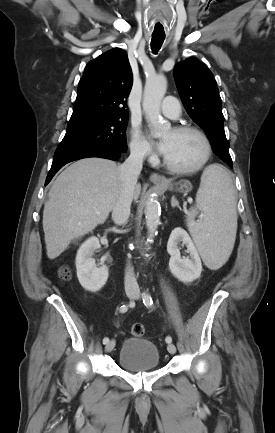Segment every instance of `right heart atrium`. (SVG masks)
<instances>
[{
	"mask_svg": "<svg viewBox=\"0 0 275 433\" xmlns=\"http://www.w3.org/2000/svg\"><path fill=\"white\" fill-rule=\"evenodd\" d=\"M130 150L132 155L140 160L150 158L153 155L152 147L138 126L131 131Z\"/></svg>",
	"mask_w": 275,
	"mask_h": 433,
	"instance_id": "d8ad5b80",
	"label": "right heart atrium"
}]
</instances>
